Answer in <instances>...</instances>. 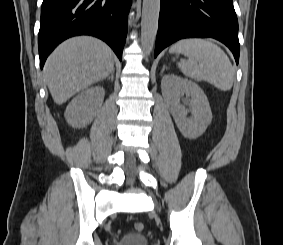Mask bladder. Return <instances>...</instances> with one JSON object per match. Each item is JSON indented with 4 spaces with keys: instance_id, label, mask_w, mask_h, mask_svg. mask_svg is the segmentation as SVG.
Listing matches in <instances>:
<instances>
[{
    "instance_id": "1",
    "label": "bladder",
    "mask_w": 283,
    "mask_h": 245,
    "mask_svg": "<svg viewBox=\"0 0 283 245\" xmlns=\"http://www.w3.org/2000/svg\"><path fill=\"white\" fill-rule=\"evenodd\" d=\"M117 245H149V239L144 234L128 233L117 242Z\"/></svg>"
}]
</instances>
